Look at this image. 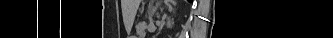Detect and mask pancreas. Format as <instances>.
<instances>
[{"label":"pancreas","mask_w":333,"mask_h":38,"mask_svg":"<svg viewBox=\"0 0 333 38\" xmlns=\"http://www.w3.org/2000/svg\"><path fill=\"white\" fill-rule=\"evenodd\" d=\"M144 29H145V24L141 23V24L139 25V33H140L141 35L144 34Z\"/></svg>","instance_id":"pancreas-1"}]
</instances>
